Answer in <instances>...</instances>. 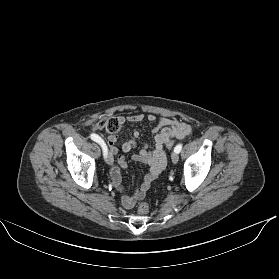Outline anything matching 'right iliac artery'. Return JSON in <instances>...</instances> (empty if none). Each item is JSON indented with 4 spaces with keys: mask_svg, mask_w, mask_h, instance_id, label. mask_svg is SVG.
<instances>
[{
    "mask_svg": "<svg viewBox=\"0 0 279 279\" xmlns=\"http://www.w3.org/2000/svg\"><path fill=\"white\" fill-rule=\"evenodd\" d=\"M90 138L93 141H95L101 145V147L103 148L104 156H105L107 154V146H106L105 142L101 139V137H99L97 134L93 133L90 135Z\"/></svg>",
    "mask_w": 279,
    "mask_h": 279,
    "instance_id": "obj_1",
    "label": "right iliac artery"
}]
</instances>
